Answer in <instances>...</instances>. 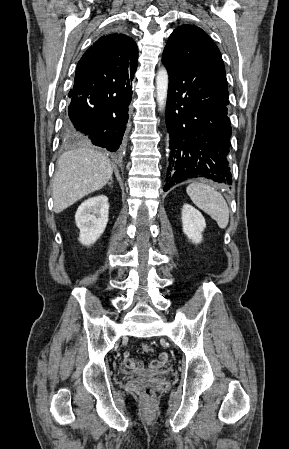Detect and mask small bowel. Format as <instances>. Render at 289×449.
I'll use <instances>...</instances> for the list:
<instances>
[{
	"mask_svg": "<svg viewBox=\"0 0 289 449\" xmlns=\"http://www.w3.org/2000/svg\"><path fill=\"white\" fill-rule=\"evenodd\" d=\"M169 360V355L167 353H162L158 359H153L149 362V369H158L165 368L166 363ZM123 366L127 369L140 370L144 368V365L141 362L135 361L131 358L129 351L124 353Z\"/></svg>",
	"mask_w": 289,
	"mask_h": 449,
	"instance_id": "c3829d8e",
	"label": "small bowel"
}]
</instances>
